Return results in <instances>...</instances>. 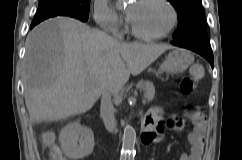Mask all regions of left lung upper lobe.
I'll return each mask as SVG.
<instances>
[{"mask_svg":"<svg viewBox=\"0 0 242 160\" xmlns=\"http://www.w3.org/2000/svg\"><path fill=\"white\" fill-rule=\"evenodd\" d=\"M178 14V28L174 40L191 37H207V29L201 0H168Z\"/></svg>","mask_w":242,"mask_h":160,"instance_id":"1","label":"left lung upper lobe"}]
</instances>
